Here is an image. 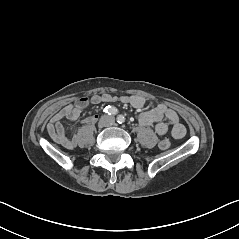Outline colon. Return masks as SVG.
<instances>
[{
  "mask_svg": "<svg viewBox=\"0 0 239 239\" xmlns=\"http://www.w3.org/2000/svg\"><path fill=\"white\" fill-rule=\"evenodd\" d=\"M84 101V100H83ZM170 147V142L168 140H162L160 143H159V148L162 149V150H166Z\"/></svg>",
  "mask_w": 239,
  "mask_h": 239,
  "instance_id": "5ec220e1",
  "label": "colon"
}]
</instances>
